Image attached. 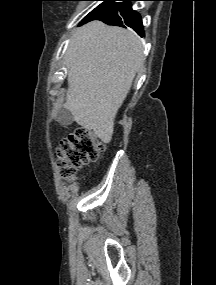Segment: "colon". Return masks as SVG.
Masks as SVG:
<instances>
[{"instance_id":"5ec220e1","label":"colon","mask_w":216,"mask_h":285,"mask_svg":"<svg viewBox=\"0 0 216 285\" xmlns=\"http://www.w3.org/2000/svg\"><path fill=\"white\" fill-rule=\"evenodd\" d=\"M105 145L92 132L79 128L61 140L58 149V165L67 179L75 177L77 169L96 161Z\"/></svg>"}]
</instances>
